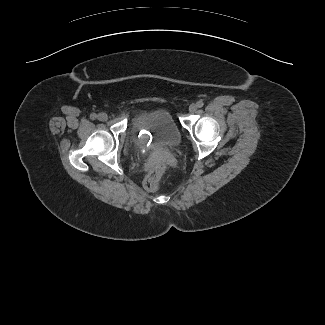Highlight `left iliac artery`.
Wrapping results in <instances>:
<instances>
[{
    "label": "left iliac artery",
    "mask_w": 325,
    "mask_h": 325,
    "mask_svg": "<svg viewBox=\"0 0 325 325\" xmlns=\"http://www.w3.org/2000/svg\"><path fill=\"white\" fill-rule=\"evenodd\" d=\"M203 105H204V102L202 100H199L197 102V107L201 108V107H203Z\"/></svg>",
    "instance_id": "left-iliac-artery-1"
}]
</instances>
